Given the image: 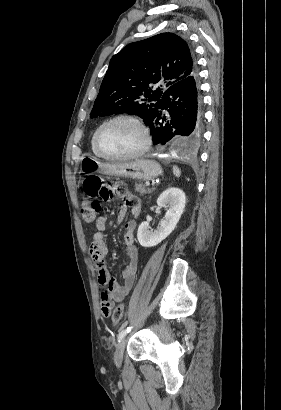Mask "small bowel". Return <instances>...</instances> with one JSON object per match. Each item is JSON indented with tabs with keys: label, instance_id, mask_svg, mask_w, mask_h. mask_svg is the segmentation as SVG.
<instances>
[{
	"label": "small bowel",
	"instance_id": "c3829d8e",
	"mask_svg": "<svg viewBox=\"0 0 281 410\" xmlns=\"http://www.w3.org/2000/svg\"><path fill=\"white\" fill-rule=\"evenodd\" d=\"M130 209L133 216L137 217L140 213L141 205L137 197L131 194H126L123 197V202L119 217L122 218L127 210ZM96 231L93 234L90 245V255L97 268L98 282L104 289L101 292V313L104 317L110 315V310L115 302L124 299L131 291L136 277L138 265V249L134 242V233L136 230V222L130 220L125 225L124 241L127 253V263L121 270L123 281L119 282L116 278L110 275L106 264V255L108 248L105 242L106 233V218L99 216L95 221ZM107 310V313L104 310Z\"/></svg>",
	"mask_w": 281,
	"mask_h": 410
}]
</instances>
